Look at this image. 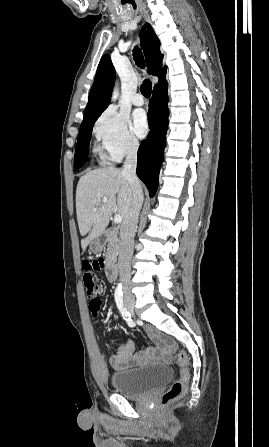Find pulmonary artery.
Returning <instances> with one entry per match:
<instances>
[{
  "label": "pulmonary artery",
  "instance_id": "pulmonary-artery-1",
  "mask_svg": "<svg viewBox=\"0 0 269 447\" xmlns=\"http://www.w3.org/2000/svg\"><path fill=\"white\" fill-rule=\"evenodd\" d=\"M132 103L135 106H142L145 103V99H144L143 95L137 93L132 97Z\"/></svg>",
  "mask_w": 269,
  "mask_h": 447
}]
</instances>
